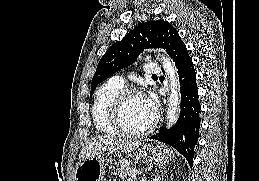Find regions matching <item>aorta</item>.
Listing matches in <instances>:
<instances>
[{
    "label": "aorta",
    "instance_id": "aorta-1",
    "mask_svg": "<svg viewBox=\"0 0 259 181\" xmlns=\"http://www.w3.org/2000/svg\"><path fill=\"white\" fill-rule=\"evenodd\" d=\"M160 61L169 80V97L167 99L166 127L171 128L178 117L180 106V83L177 69L173 61L166 55Z\"/></svg>",
    "mask_w": 259,
    "mask_h": 181
}]
</instances>
